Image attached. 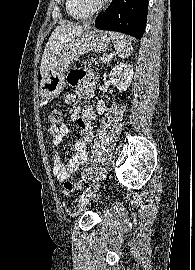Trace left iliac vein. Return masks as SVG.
I'll use <instances>...</instances> for the list:
<instances>
[{
  "mask_svg": "<svg viewBox=\"0 0 195 270\" xmlns=\"http://www.w3.org/2000/svg\"><path fill=\"white\" fill-rule=\"evenodd\" d=\"M99 188V184H97L92 191H90L88 194H86L76 205L74 210V216L80 215L84 207L88 204V202L91 200V198L95 195L96 191Z\"/></svg>",
  "mask_w": 195,
  "mask_h": 270,
  "instance_id": "obj_1",
  "label": "left iliac vein"
}]
</instances>
